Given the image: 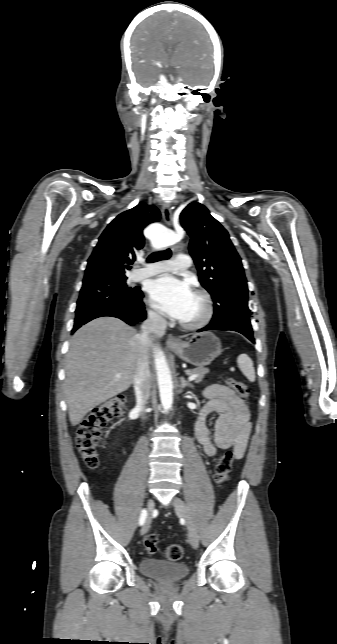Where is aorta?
Returning a JSON list of instances; mask_svg holds the SVG:
<instances>
[{
  "instance_id": "1",
  "label": "aorta",
  "mask_w": 337,
  "mask_h": 644,
  "mask_svg": "<svg viewBox=\"0 0 337 644\" xmlns=\"http://www.w3.org/2000/svg\"><path fill=\"white\" fill-rule=\"evenodd\" d=\"M150 237L158 243L166 245L176 241L174 236L166 229L150 231ZM155 367L159 386V394L162 406L165 410L171 408L173 403V382L171 372L164 353L160 349L155 350Z\"/></svg>"
}]
</instances>
